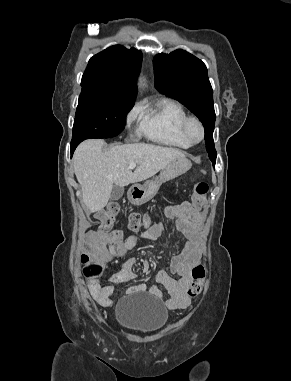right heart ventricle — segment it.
<instances>
[{
  "label": "right heart ventricle",
  "instance_id": "right-heart-ventricle-1",
  "mask_svg": "<svg viewBox=\"0 0 291 381\" xmlns=\"http://www.w3.org/2000/svg\"><path fill=\"white\" fill-rule=\"evenodd\" d=\"M139 112L140 134L168 147L188 149L192 146L183 132V124L188 114L180 103L163 99L153 106H142Z\"/></svg>",
  "mask_w": 291,
  "mask_h": 381
}]
</instances>
